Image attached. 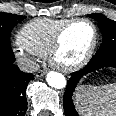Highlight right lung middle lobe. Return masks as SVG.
Segmentation results:
<instances>
[{
	"mask_svg": "<svg viewBox=\"0 0 116 116\" xmlns=\"http://www.w3.org/2000/svg\"><path fill=\"white\" fill-rule=\"evenodd\" d=\"M26 16L0 12V65L7 62L13 55L10 45V34L12 29Z\"/></svg>",
	"mask_w": 116,
	"mask_h": 116,
	"instance_id": "right-lung-middle-lobe-1",
	"label": "right lung middle lobe"
}]
</instances>
